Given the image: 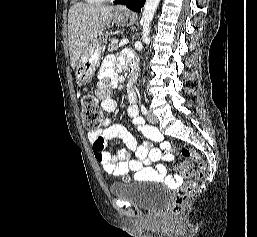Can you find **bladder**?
Listing matches in <instances>:
<instances>
[{"instance_id":"31cf9c89","label":"bladder","mask_w":257,"mask_h":237,"mask_svg":"<svg viewBox=\"0 0 257 237\" xmlns=\"http://www.w3.org/2000/svg\"><path fill=\"white\" fill-rule=\"evenodd\" d=\"M138 181L113 184L109 191L114 197L125 199L144 210H157L167 203L166 190L148 187V180Z\"/></svg>"}]
</instances>
